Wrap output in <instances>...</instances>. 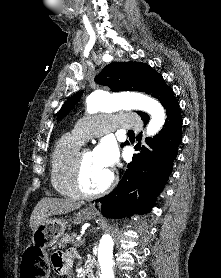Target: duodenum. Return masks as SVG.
I'll return each mask as SVG.
<instances>
[{
  "mask_svg": "<svg viewBox=\"0 0 221 278\" xmlns=\"http://www.w3.org/2000/svg\"><path fill=\"white\" fill-rule=\"evenodd\" d=\"M85 272H86L87 278H99V270L97 268V265L91 259H88L86 262Z\"/></svg>",
  "mask_w": 221,
  "mask_h": 278,
  "instance_id": "obj_1",
  "label": "duodenum"
}]
</instances>
